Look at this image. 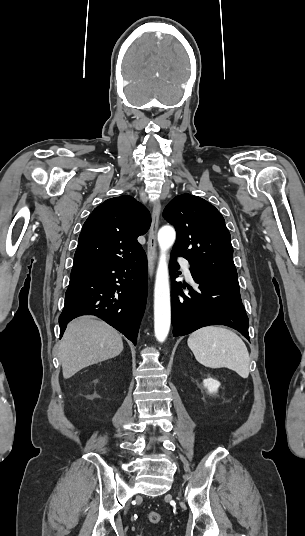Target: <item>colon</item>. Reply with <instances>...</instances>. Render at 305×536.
I'll list each match as a JSON object with an SVG mask.
<instances>
[{
    "label": "colon",
    "instance_id": "colon-1",
    "mask_svg": "<svg viewBox=\"0 0 305 536\" xmlns=\"http://www.w3.org/2000/svg\"><path fill=\"white\" fill-rule=\"evenodd\" d=\"M148 521L151 524H158L161 521V517H160V515L158 513L151 512V513L148 514Z\"/></svg>",
    "mask_w": 305,
    "mask_h": 536
}]
</instances>
